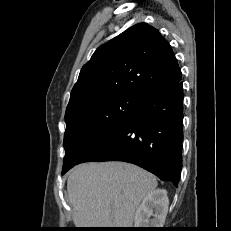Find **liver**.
I'll list each match as a JSON object with an SVG mask.
<instances>
[{
    "label": "liver",
    "instance_id": "6515ba94",
    "mask_svg": "<svg viewBox=\"0 0 231 231\" xmlns=\"http://www.w3.org/2000/svg\"><path fill=\"white\" fill-rule=\"evenodd\" d=\"M157 187L151 173L125 162L85 163L68 176L78 228H131L142 199Z\"/></svg>",
    "mask_w": 231,
    "mask_h": 231
}]
</instances>
